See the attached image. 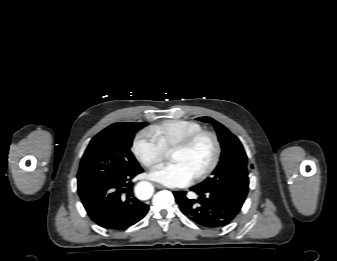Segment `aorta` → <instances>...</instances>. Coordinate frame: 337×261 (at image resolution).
I'll use <instances>...</instances> for the list:
<instances>
[{"label":"aorta","mask_w":337,"mask_h":261,"mask_svg":"<svg viewBox=\"0 0 337 261\" xmlns=\"http://www.w3.org/2000/svg\"><path fill=\"white\" fill-rule=\"evenodd\" d=\"M153 186L150 182H139L135 187V194L141 200L149 199L153 194Z\"/></svg>","instance_id":"obj_1"}]
</instances>
